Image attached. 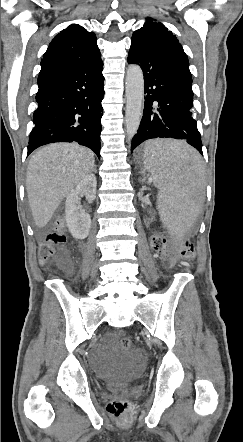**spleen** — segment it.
<instances>
[{"label":"spleen","instance_id":"spleen-1","mask_svg":"<svg viewBox=\"0 0 243 442\" xmlns=\"http://www.w3.org/2000/svg\"><path fill=\"white\" fill-rule=\"evenodd\" d=\"M141 169L144 178H152L159 187V212L170 226L171 237H187L189 219L200 214L199 202L203 201L204 186L201 183L202 160L193 148L182 141L151 140L142 153ZM178 241L172 245L177 248Z\"/></svg>","mask_w":243,"mask_h":442}]
</instances>
